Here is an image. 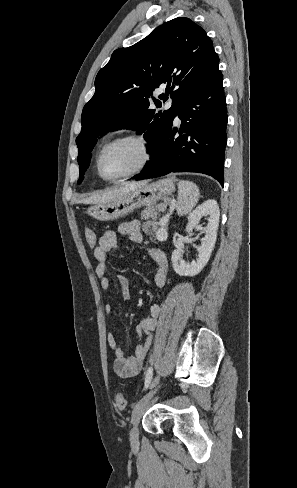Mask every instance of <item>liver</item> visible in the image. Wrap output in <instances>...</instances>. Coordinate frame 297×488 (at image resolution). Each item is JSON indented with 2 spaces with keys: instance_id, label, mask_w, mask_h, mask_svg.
<instances>
[{
  "instance_id": "liver-1",
  "label": "liver",
  "mask_w": 297,
  "mask_h": 488,
  "mask_svg": "<svg viewBox=\"0 0 297 488\" xmlns=\"http://www.w3.org/2000/svg\"><path fill=\"white\" fill-rule=\"evenodd\" d=\"M148 181H140V182H128L124 186L120 188H116L114 190H110L101 194H95L91 196L90 198L84 200V202L87 203H93V204H100V203H105L109 201H113L116 198H118L121 194L125 192H130L134 191L144 185H146Z\"/></svg>"
}]
</instances>
